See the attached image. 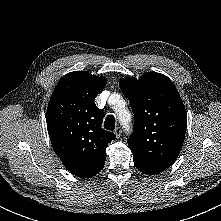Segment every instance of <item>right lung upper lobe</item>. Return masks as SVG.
<instances>
[{"mask_svg": "<svg viewBox=\"0 0 221 221\" xmlns=\"http://www.w3.org/2000/svg\"><path fill=\"white\" fill-rule=\"evenodd\" d=\"M105 77L86 71L66 74L55 87L47 109V128L53 149L74 175L91 178L103 168L108 143L115 134L102 129L103 110L95 97Z\"/></svg>", "mask_w": 221, "mask_h": 221, "instance_id": "right-lung-upper-lobe-1", "label": "right lung upper lobe"}]
</instances>
